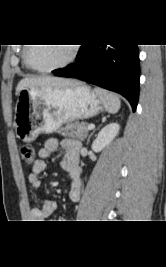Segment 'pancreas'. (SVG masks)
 I'll return each instance as SVG.
<instances>
[{"mask_svg": "<svg viewBox=\"0 0 166 267\" xmlns=\"http://www.w3.org/2000/svg\"><path fill=\"white\" fill-rule=\"evenodd\" d=\"M87 122L67 123L64 127L59 129V132L65 137L78 138L83 141L88 135Z\"/></svg>", "mask_w": 166, "mask_h": 267, "instance_id": "obj_1", "label": "pancreas"}]
</instances>
